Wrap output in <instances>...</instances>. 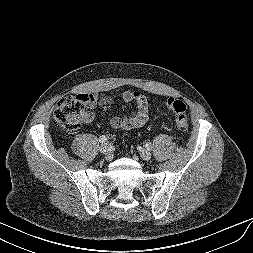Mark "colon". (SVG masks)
<instances>
[{
    "label": "colon",
    "mask_w": 253,
    "mask_h": 253,
    "mask_svg": "<svg viewBox=\"0 0 253 253\" xmlns=\"http://www.w3.org/2000/svg\"><path fill=\"white\" fill-rule=\"evenodd\" d=\"M165 106L174 113L177 127L185 131L188 127L186 105L181 100L170 98L165 102ZM90 108L89 100L84 95L63 97L54 111L53 123L66 132L74 134L82 123L91 120Z\"/></svg>",
    "instance_id": "obj_1"
}]
</instances>
